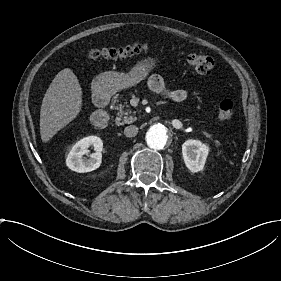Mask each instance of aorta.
<instances>
[{"instance_id": "762f6f07", "label": "aorta", "mask_w": 281, "mask_h": 281, "mask_svg": "<svg viewBox=\"0 0 281 281\" xmlns=\"http://www.w3.org/2000/svg\"><path fill=\"white\" fill-rule=\"evenodd\" d=\"M168 141V129L160 123L151 126L146 133V142L150 148L163 149Z\"/></svg>"}]
</instances>
